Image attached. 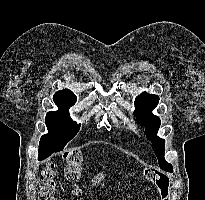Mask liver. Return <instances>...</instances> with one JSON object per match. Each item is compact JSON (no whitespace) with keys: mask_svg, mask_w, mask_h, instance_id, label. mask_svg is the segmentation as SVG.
Returning <instances> with one entry per match:
<instances>
[{"mask_svg":"<svg viewBox=\"0 0 205 200\" xmlns=\"http://www.w3.org/2000/svg\"><path fill=\"white\" fill-rule=\"evenodd\" d=\"M105 173H103V172H101V173H98L97 175H96V177H94L93 179H92V186H96V185H98V184H100L101 183V181H103L104 180V178H105Z\"/></svg>","mask_w":205,"mask_h":200,"instance_id":"obj_1","label":"liver"}]
</instances>
